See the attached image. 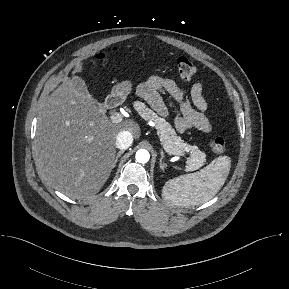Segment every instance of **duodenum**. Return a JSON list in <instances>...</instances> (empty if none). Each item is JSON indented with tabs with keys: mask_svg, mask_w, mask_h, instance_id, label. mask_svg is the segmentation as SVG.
Listing matches in <instances>:
<instances>
[{
	"mask_svg": "<svg viewBox=\"0 0 289 289\" xmlns=\"http://www.w3.org/2000/svg\"><path fill=\"white\" fill-rule=\"evenodd\" d=\"M121 104V98L118 95H111L106 100V107L109 110L117 108Z\"/></svg>",
	"mask_w": 289,
	"mask_h": 289,
	"instance_id": "1",
	"label": "duodenum"
}]
</instances>
